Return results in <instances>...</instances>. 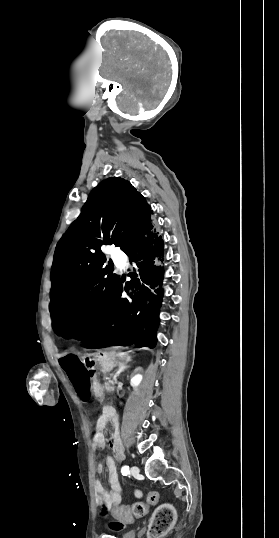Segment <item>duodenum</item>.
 <instances>
[{
	"instance_id": "obj_1",
	"label": "duodenum",
	"mask_w": 279,
	"mask_h": 538,
	"mask_svg": "<svg viewBox=\"0 0 279 538\" xmlns=\"http://www.w3.org/2000/svg\"><path fill=\"white\" fill-rule=\"evenodd\" d=\"M90 377H96V372H90ZM92 385H93L94 387H97V386L99 385V382H98L97 380H94V381L92 382ZM102 409H103V410H102V413H103L104 415H110V414L112 413L113 406H112L111 404H104V405L102 406Z\"/></svg>"
}]
</instances>
